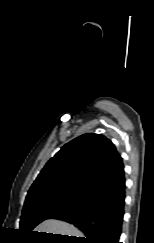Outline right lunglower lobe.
I'll return each instance as SVG.
<instances>
[{
  "label": "right lung lower lobe",
  "mask_w": 154,
  "mask_h": 243,
  "mask_svg": "<svg viewBox=\"0 0 154 243\" xmlns=\"http://www.w3.org/2000/svg\"><path fill=\"white\" fill-rule=\"evenodd\" d=\"M125 205V177L102 188L86 202L55 215L79 228L85 237L78 243H119Z\"/></svg>",
  "instance_id": "98d812e1"
}]
</instances>
